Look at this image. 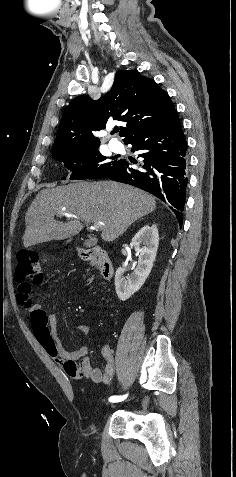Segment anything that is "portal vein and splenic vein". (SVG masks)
I'll list each match as a JSON object with an SVG mask.
<instances>
[{"instance_id": "portal-vein-and-splenic-vein-1", "label": "portal vein and splenic vein", "mask_w": 236, "mask_h": 477, "mask_svg": "<svg viewBox=\"0 0 236 477\" xmlns=\"http://www.w3.org/2000/svg\"><path fill=\"white\" fill-rule=\"evenodd\" d=\"M59 216H65V217H68V218H77V216L69 214L67 212H61L59 214ZM102 226H103L102 223H94V225L91 228L94 229V230H99V229L102 228Z\"/></svg>"}]
</instances>
